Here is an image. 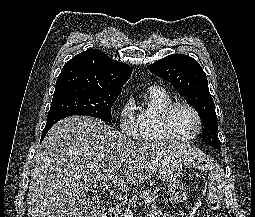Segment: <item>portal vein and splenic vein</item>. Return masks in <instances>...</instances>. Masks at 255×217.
I'll return each instance as SVG.
<instances>
[{
	"mask_svg": "<svg viewBox=\"0 0 255 217\" xmlns=\"http://www.w3.org/2000/svg\"><path fill=\"white\" fill-rule=\"evenodd\" d=\"M112 179V175H107L105 178H103V181L107 182ZM124 215L127 217H133V213L129 208H126L124 210Z\"/></svg>",
	"mask_w": 255,
	"mask_h": 217,
	"instance_id": "1",
	"label": "portal vein and splenic vein"
}]
</instances>
